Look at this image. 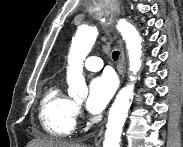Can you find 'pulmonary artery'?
<instances>
[{
    "label": "pulmonary artery",
    "mask_w": 183,
    "mask_h": 147,
    "mask_svg": "<svg viewBox=\"0 0 183 147\" xmlns=\"http://www.w3.org/2000/svg\"><path fill=\"white\" fill-rule=\"evenodd\" d=\"M83 66L89 71H98L103 67V62L99 57L90 56L84 61Z\"/></svg>",
    "instance_id": "pulmonary-artery-1"
}]
</instances>
